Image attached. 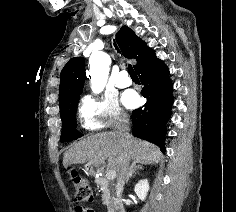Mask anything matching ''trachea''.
<instances>
[{
  "label": "trachea",
  "instance_id": "1",
  "mask_svg": "<svg viewBox=\"0 0 236 212\" xmlns=\"http://www.w3.org/2000/svg\"><path fill=\"white\" fill-rule=\"evenodd\" d=\"M114 46H115V49H116L118 52H120V51H119V48H118V46H117V44H116L115 41H114ZM128 73H129V75H130L131 78H138V76H137V74L135 73V71H134L132 65H130V64L128 65Z\"/></svg>",
  "mask_w": 236,
  "mask_h": 212
}]
</instances>
